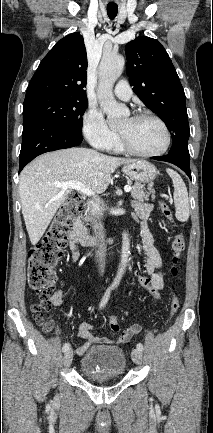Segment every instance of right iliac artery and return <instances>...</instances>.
<instances>
[{"label": "right iliac artery", "instance_id": "obj_1", "mask_svg": "<svg viewBox=\"0 0 213 433\" xmlns=\"http://www.w3.org/2000/svg\"><path fill=\"white\" fill-rule=\"evenodd\" d=\"M110 291H111V289L109 288V289H107V291L105 292V294H104V296H103V298H102V300H101V302H100V305H99V308H100V309L103 308V307L106 305V303L108 302V298H109V295H110ZM69 347H70V344H69V343H65V344L63 345V347H62V350L65 352V351H67V350L69 349Z\"/></svg>", "mask_w": 213, "mask_h": 433}]
</instances>
